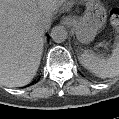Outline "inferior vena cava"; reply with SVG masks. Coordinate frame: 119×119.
I'll use <instances>...</instances> for the list:
<instances>
[{
    "mask_svg": "<svg viewBox=\"0 0 119 119\" xmlns=\"http://www.w3.org/2000/svg\"><path fill=\"white\" fill-rule=\"evenodd\" d=\"M42 30H44L46 28V25L45 24H41V27H40Z\"/></svg>",
    "mask_w": 119,
    "mask_h": 119,
    "instance_id": "obj_1",
    "label": "inferior vena cava"
}]
</instances>
